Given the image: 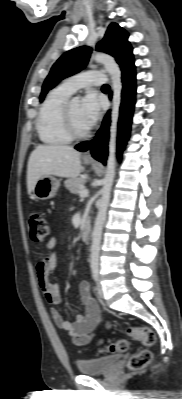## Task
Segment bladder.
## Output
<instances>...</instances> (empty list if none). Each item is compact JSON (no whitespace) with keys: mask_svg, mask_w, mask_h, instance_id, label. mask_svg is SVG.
Masks as SVG:
<instances>
[{"mask_svg":"<svg viewBox=\"0 0 182 399\" xmlns=\"http://www.w3.org/2000/svg\"><path fill=\"white\" fill-rule=\"evenodd\" d=\"M121 358V355L104 356L91 359L78 360V371L83 375L106 374L111 367Z\"/></svg>","mask_w":182,"mask_h":399,"instance_id":"obj_1","label":"bladder"}]
</instances>
